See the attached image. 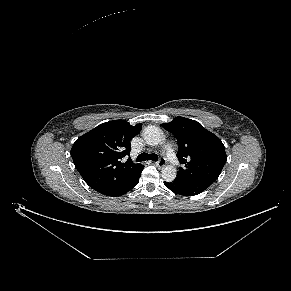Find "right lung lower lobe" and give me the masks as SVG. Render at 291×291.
Wrapping results in <instances>:
<instances>
[{
  "label": "right lung lower lobe",
  "mask_w": 291,
  "mask_h": 291,
  "mask_svg": "<svg viewBox=\"0 0 291 291\" xmlns=\"http://www.w3.org/2000/svg\"><path fill=\"white\" fill-rule=\"evenodd\" d=\"M144 166L142 167V169L137 172V174L130 179L129 181L125 182L123 185L114 188V189H109V190H105V191H101V194H104L106 196H112V197H116V196H121L126 194L128 191H130L132 188H134L138 182H139V178L141 175V171L143 170Z\"/></svg>",
  "instance_id": "1"
}]
</instances>
